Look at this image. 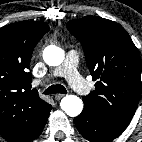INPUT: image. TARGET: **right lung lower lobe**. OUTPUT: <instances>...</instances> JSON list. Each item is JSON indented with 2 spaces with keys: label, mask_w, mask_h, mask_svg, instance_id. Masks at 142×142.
Wrapping results in <instances>:
<instances>
[{
  "label": "right lung lower lobe",
  "mask_w": 142,
  "mask_h": 142,
  "mask_svg": "<svg viewBox=\"0 0 142 142\" xmlns=\"http://www.w3.org/2000/svg\"><path fill=\"white\" fill-rule=\"evenodd\" d=\"M47 119H48V118H47ZM46 121H47V120H46ZM46 121L42 124V126L40 127V129L38 130V132L36 133V135L33 137L32 140L36 139V138L41 134V132H42V130H43L45 124H46ZM32 140H30V141H32ZM30 141H29V142H30Z\"/></svg>",
  "instance_id": "obj_1"
}]
</instances>
